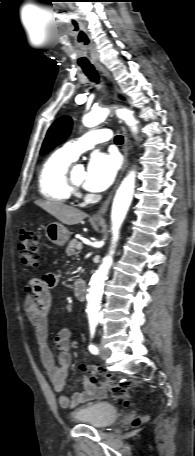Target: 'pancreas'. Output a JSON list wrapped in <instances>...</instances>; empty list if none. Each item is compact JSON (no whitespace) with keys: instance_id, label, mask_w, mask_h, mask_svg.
<instances>
[{"instance_id":"pancreas-1","label":"pancreas","mask_w":195,"mask_h":456,"mask_svg":"<svg viewBox=\"0 0 195 456\" xmlns=\"http://www.w3.org/2000/svg\"><path fill=\"white\" fill-rule=\"evenodd\" d=\"M80 242L76 239H72L67 248H66V254L68 256H72V255H75L76 254V246L79 244Z\"/></svg>"}]
</instances>
